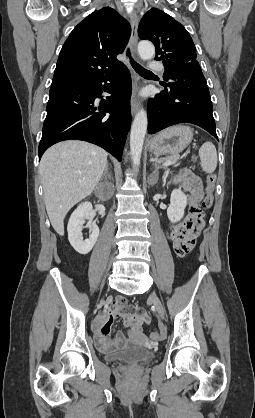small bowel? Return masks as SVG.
<instances>
[{"instance_id": "obj_1", "label": "small bowel", "mask_w": 255, "mask_h": 418, "mask_svg": "<svg viewBox=\"0 0 255 418\" xmlns=\"http://www.w3.org/2000/svg\"><path fill=\"white\" fill-rule=\"evenodd\" d=\"M185 191L190 194V204L197 205L202 197V183L200 179L189 170H183L175 178ZM198 228H174L169 233L171 254L181 260L183 256L190 255V249L197 247ZM120 315L134 340H142V326L150 322V317L142 308H133L123 299H117L114 304L99 318L94 336L97 346L103 351H109L123 347L128 340L123 332H118L114 339L109 336L113 330L114 319Z\"/></svg>"}]
</instances>
